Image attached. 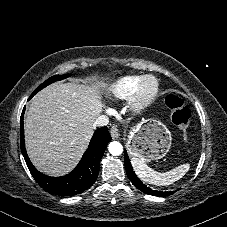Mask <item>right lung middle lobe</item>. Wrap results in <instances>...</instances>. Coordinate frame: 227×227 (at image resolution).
<instances>
[{
    "label": "right lung middle lobe",
    "mask_w": 227,
    "mask_h": 227,
    "mask_svg": "<svg viewBox=\"0 0 227 227\" xmlns=\"http://www.w3.org/2000/svg\"><path fill=\"white\" fill-rule=\"evenodd\" d=\"M71 76L70 74H65V75H55L50 77L49 79H47L45 82H43L31 95V97H33L38 91H40L41 89H43L44 87H46L47 85L56 82L58 80H62L65 79L67 77ZM30 97V98H31Z\"/></svg>",
    "instance_id": "dd1d6c3e"
}]
</instances>
